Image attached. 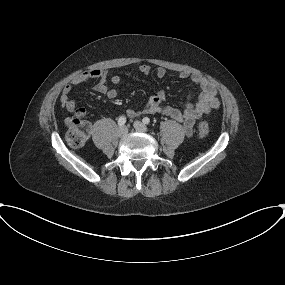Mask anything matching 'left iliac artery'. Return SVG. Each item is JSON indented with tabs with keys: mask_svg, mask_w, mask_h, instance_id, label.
<instances>
[{
	"mask_svg": "<svg viewBox=\"0 0 285 285\" xmlns=\"http://www.w3.org/2000/svg\"><path fill=\"white\" fill-rule=\"evenodd\" d=\"M142 122H143L144 124H149V123H150V119H149L148 117H144L143 120H142Z\"/></svg>",
	"mask_w": 285,
	"mask_h": 285,
	"instance_id": "1",
	"label": "left iliac artery"
}]
</instances>
